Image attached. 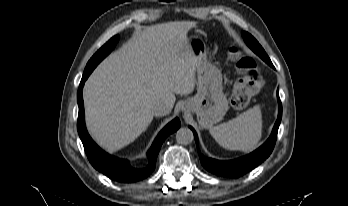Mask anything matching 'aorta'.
Wrapping results in <instances>:
<instances>
[{
	"mask_svg": "<svg viewBox=\"0 0 348 206\" xmlns=\"http://www.w3.org/2000/svg\"><path fill=\"white\" fill-rule=\"evenodd\" d=\"M176 140L179 144L188 145L194 140V135L191 129L181 127L176 132Z\"/></svg>",
	"mask_w": 348,
	"mask_h": 206,
	"instance_id": "1",
	"label": "aorta"
}]
</instances>
